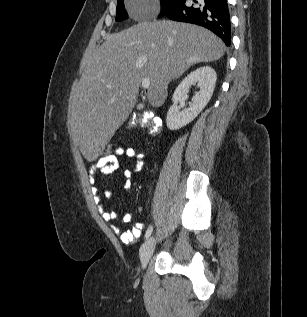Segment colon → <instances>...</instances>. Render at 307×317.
<instances>
[{"label": "colon", "instance_id": "obj_1", "mask_svg": "<svg viewBox=\"0 0 307 317\" xmlns=\"http://www.w3.org/2000/svg\"><path fill=\"white\" fill-rule=\"evenodd\" d=\"M161 124L153 119H146L144 117H133L130 119L127 125L128 130H132L136 127H141L149 135H155L159 132ZM120 147L107 144L103 147L99 159L107 160L117 156Z\"/></svg>", "mask_w": 307, "mask_h": 317}]
</instances>
